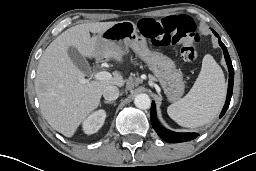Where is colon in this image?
<instances>
[{
	"label": "colon",
	"mask_w": 256,
	"mask_h": 171,
	"mask_svg": "<svg viewBox=\"0 0 256 171\" xmlns=\"http://www.w3.org/2000/svg\"><path fill=\"white\" fill-rule=\"evenodd\" d=\"M140 33L157 47L176 46L186 62L197 56L201 36L188 16H168L163 19L143 18L138 23Z\"/></svg>",
	"instance_id": "1"
}]
</instances>
